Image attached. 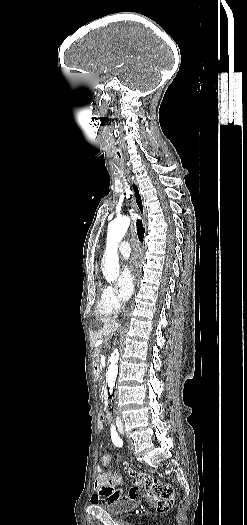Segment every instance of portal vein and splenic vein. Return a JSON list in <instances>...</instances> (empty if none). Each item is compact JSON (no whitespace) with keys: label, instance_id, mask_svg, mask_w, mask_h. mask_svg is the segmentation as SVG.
Returning a JSON list of instances; mask_svg holds the SVG:
<instances>
[{"label":"portal vein and splenic vein","instance_id":"obj_1","mask_svg":"<svg viewBox=\"0 0 247 525\" xmlns=\"http://www.w3.org/2000/svg\"><path fill=\"white\" fill-rule=\"evenodd\" d=\"M99 370H103V367H102V365H99Z\"/></svg>","mask_w":247,"mask_h":525}]
</instances>
